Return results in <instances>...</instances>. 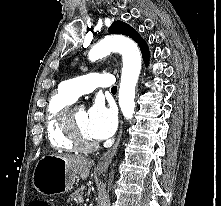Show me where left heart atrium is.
I'll list each match as a JSON object with an SVG mask.
<instances>
[{
	"label": "left heart atrium",
	"mask_w": 221,
	"mask_h": 206,
	"mask_svg": "<svg viewBox=\"0 0 221 206\" xmlns=\"http://www.w3.org/2000/svg\"><path fill=\"white\" fill-rule=\"evenodd\" d=\"M116 128L115 111L102 102H96L87 112V130L93 139H106Z\"/></svg>",
	"instance_id": "1"
}]
</instances>
